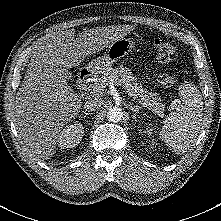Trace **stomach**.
I'll use <instances>...</instances> for the list:
<instances>
[{
	"mask_svg": "<svg viewBox=\"0 0 221 221\" xmlns=\"http://www.w3.org/2000/svg\"><path fill=\"white\" fill-rule=\"evenodd\" d=\"M134 48L135 43L131 39L120 38L114 41L102 56L88 63L87 69L93 73H103Z\"/></svg>",
	"mask_w": 221,
	"mask_h": 221,
	"instance_id": "1",
	"label": "stomach"
}]
</instances>
